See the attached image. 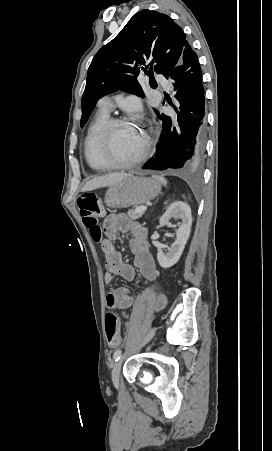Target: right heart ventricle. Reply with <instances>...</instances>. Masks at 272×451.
I'll return each instance as SVG.
<instances>
[{
    "instance_id": "e07e8e85",
    "label": "right heart ventricle",
    "mask_w": 272,
    "mask_h": 451,
    "mask_svg": "<svg viewBox=\"0 0 272 451\" xmlns=\"http://www.w3.org/2000/svg\"><path fill=\"white\" fill-rule=\"evenodd\" d=\"M108 110L100 108L95 120L89 128L85 144V155L89 167L95 172H101L105 169L99 151L98 137L104 123L108 120Z\"/></svg>"
}]
</instances>
